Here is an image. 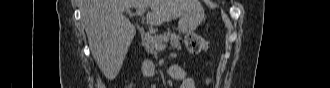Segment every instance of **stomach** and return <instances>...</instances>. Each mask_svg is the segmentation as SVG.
Listing matches in <instances>:
<instances>
[{
  "mask_svg": "<svg viewBox=\"0 0 330 88\" xmlns=\"http://www.w3.org/2000/svg\"><path fill=\"white\" fill-rule=\"evenodd\" d=\"M204 19V9L199 2L188 13L181 16L178 29L182 33L193 32Z\"/></svg>",
  "mask_w": 330,
  "mask_h": 88,
  "instance_id": "1",
  "label": "stomach"
}]
</instances>
